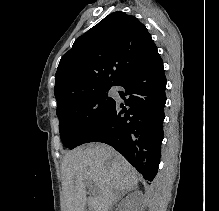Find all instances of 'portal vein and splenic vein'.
Listing matches in <instances>:
<instances>
[{
  "label": "portal vein and splenic vein",
  "instance_id": "18ae733b",
  "mask_svg": "<svg viewBox=\"0 0 219 211\" xmlns=\"http://www.w3.org/2000/svg\"><path fill=\"white\" fill-rule=\"evenodd\" d=\"M89 181H90V179H89ZM89 181H87V183H89ZM95 189H96V191H95ZM93 193H98V187H94Z\"/></svg>",
  "mask_w": 219,
  "mask_h": 211
}]
</instances>
